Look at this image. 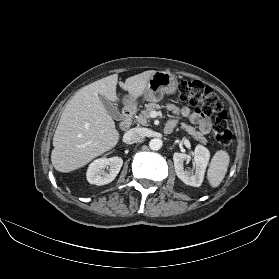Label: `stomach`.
Wrapping results in <instances>:
<instances>
[{"mask_svg":"<svg viewBox=\"0 0 279 279\" xmlns=\"http://www.w3.org/2000/svg\"><path fill=\"white\" fill-rule=\"evenodd\" d=\"M178 88V81L174 75L165 72L157 71L154 73L144 90L143 100L148 102H158L162 100L165 94H173ZM126 109H134L135 101H133L130 95L124 98Z\"/></svg>","mask_w":279,"mask_h":279,"instance_id":"0dacf381","label":"stomach"}]
</instances>
